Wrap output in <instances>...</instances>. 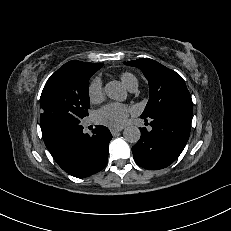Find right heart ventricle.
Here are the masks:
<instances>
[{
    "label": "right heart ventricle",
    "mask_w": 231,
    "mask_h": 231,
    "mask_svg": "<svg viewBox=\"0 0 231 231\" xmlns=\"http://www.w3.org/2000/svg\"><path fill=\"white\" fill-rule=\"evenodd\" d=\"M120 79L122 81V83L128 88L131 89L133 86H137L138 85V81L137 78L129 72H123L120 75Z\"/></svg>",
    "instance_id": "obj_1"
}]
</instances>
